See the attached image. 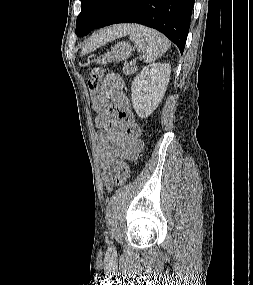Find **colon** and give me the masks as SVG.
Segmentation results:
<instances>
[{"label":"colon","instance_id":"1","mask_svg":"<svg viewBox=\"0 0 253 285\" xmlns=\"http://www.w3.org/2000/svg\"><path fill=\"white\" fill-rule=\"evenodd\" d=\"M104 70L100 67H94L88 80V89L91 95H97L100 91L101 80ZM132 169L127 163H122L115 175V185L122 186L131 176Z\"/></svg>","mask_w":253,"mask_h":285}]
</instances>
